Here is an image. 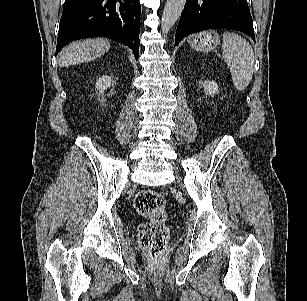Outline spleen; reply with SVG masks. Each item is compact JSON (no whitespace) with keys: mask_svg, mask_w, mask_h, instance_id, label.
I'll use <instances>...</instances> for the list:
<instances>
[{"mask_svg":"<svg viewBox=\"0 0 307 301\" xmlns=\"http://www.w3.org/2000/svg\"><path fill=\"white\" fill-rule=\"evenodd\" d=\"M222 50L234 86L237 90H244L249 85L254 72V52L251 45L243 37L225 32Z\"/></svg>","mask_w":307,"mask_h":301,"instance_id":"3e777b00","label":"spleen"}]
</instances>
